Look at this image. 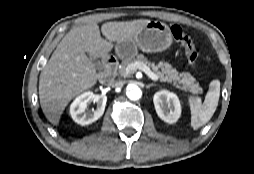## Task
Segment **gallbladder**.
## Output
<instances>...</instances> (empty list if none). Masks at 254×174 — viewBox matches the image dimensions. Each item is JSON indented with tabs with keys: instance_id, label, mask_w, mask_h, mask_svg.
I'll return each mask as SVG.
<instances>
[{
	"instance_id": "1",
	"label": "gallbladder",
	"mask_w": 254,
	"mask_h": 174,
	"mask_svg": "<svg viewBox=\"0 0 254 174\" xmlns=\"http://www.w3.org/2000/svg\"><path fill=\"white\" fill-rule=\"evenodd\" d=\"M89 58L92 61V63L95 65L96 69L100 70L102 68L100 61L96 57L89 54Z\"/></svg>"
}]
</instances>
